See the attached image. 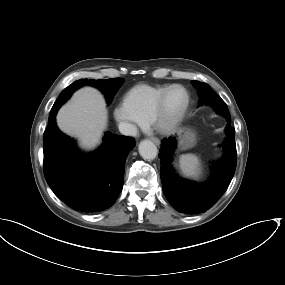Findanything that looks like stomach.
I'll return each mask as SVG.
<instances>
[{"instance_id": "obj_1", "label": "stomach", "mask_w": 285, "mask_h": 285, "mask_svg": "<svg viewBox=\"0 0 285 285\" xmlns=\"http://www.w3.org/2000/svg\"><path fill=\"white\" fill-rule=\"evenodd\" d=\"M178 134V145L181 149H189L196 143V134L190 128H181L177 132Z\"/></svg>"}]
</instances>
